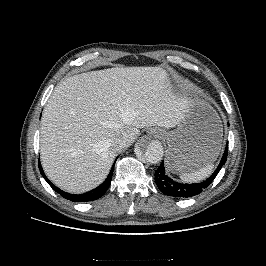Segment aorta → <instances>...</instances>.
Returning <instances> with one entry per match:
<instances>
[{"label":"aorta","mask_w":266,"mask_h":266,"mask_svg":"<svg viewBox=\"0 0 266 266\" xmlns=\"http://www.w3.org/2000/svg\"><path fill=\"white\" fill-rule=\"evenodd\" d=\"M136 153L142 156L147 162L155 164L163 157V146L160 141H140L136 146Z\"/></svg>","instance_id":"aorta-1"}]
</instances>
